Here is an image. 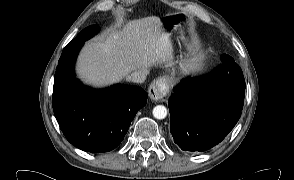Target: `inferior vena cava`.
I'll list each match as a JSON object with an SVG mask.
<instances>
[{
	"mask_svg": "<svg viewBox=\"0 0 294 180\" xmlns=\"http://www.w3.org/2000/svg\"><path fill=\"white\" fill-rule=\"evenodd\" d=\"M147 74V70H139L132 72L130 75H128L127 79L134 83H143L146 79Z\"/></svg>",
	"mask_w": 294,
	"mask_h": 180,
	"instance_id": "inferior-vena-cava-1",
	"label": "inferior vena cava"
}]
</instances>
